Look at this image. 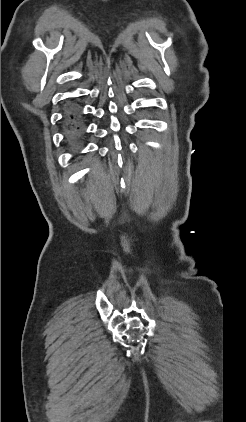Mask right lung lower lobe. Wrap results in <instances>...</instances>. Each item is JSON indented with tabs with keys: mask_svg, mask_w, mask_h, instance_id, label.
I'll return each instance as SVG.
<instances>
[{
	"mask_svg": "<svg viewBox=\"0 0 246 422\" xmlns=\"http://www.w3.org/2000/svg\"><path fill=\"white\" fill-rule=\"evenodd\" d=\"M64 126L68 141L72 144L77 143L81 135V124L78 112L71 107L66 113Z\"/></svg>",
	"mask_w": 246,
	"mask_h": 422,
	"instance_id": "98d812e1",
	"label": "right lung lower lobe"
}]
</instances>
